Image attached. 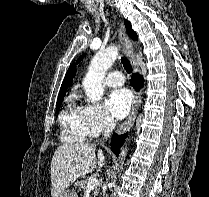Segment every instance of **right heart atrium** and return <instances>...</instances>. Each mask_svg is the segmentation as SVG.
Returning a JSON list of instances; mask_svg holds the SVG:
<instances>
[{"label":"right heart atrium","instance_id":"1","mask_svg":"<svg viewBox=\"0 0 209 197\" xmlns=\"http://www.w3.org/2000/svg\"><path fill=\"white\" fill-rule=\"evenodd\" d=\"M83 117L91 137L109 130L114 122L100 104H86L82 106Z\"/></svg>","mask_w":209,"mask_h":197}]
</instances>
